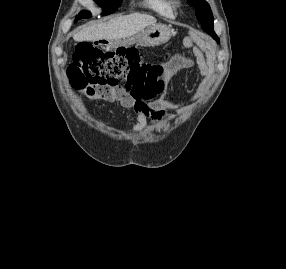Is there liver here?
I'll return each mask as SVG.
<instances>
[{"label": "liver", "mask_w": 286, "mask_h": 269, "mask_svg": "<svg viewBox=\"0 0 286 269\" xmlns=\"http://www.w3.org/2000/svg\"><path fill=\"white\" fill-rule=\"evenodd\" d=\"M156 19L151 15L133 13L119 16L104 23H97L83 28L73 35L76 42L98 41L101 39L111 41L127 38L150 25H155Z\"/></svg>", "instance_id": "obj_1"}]
</instances>
